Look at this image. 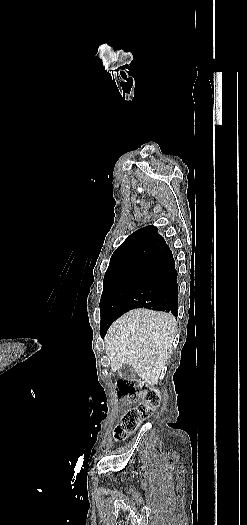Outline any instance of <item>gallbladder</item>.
<instances>
[{"mask_svg": "<svg viewBox=\"0 0 247 525\" xmlns=\"http://www.w3.org/2000/svg\"><path fill=\"white\" fill-rule=\"evenodd\" d=\"M118 377L121 379L133 380L136 379L135 369L131 365H123L118 371Z\"/></svg>", "mask_w": 247, "mask_h": 525, "instance_id": "obj_1", "label": "gallbladder"}]
</instances>
